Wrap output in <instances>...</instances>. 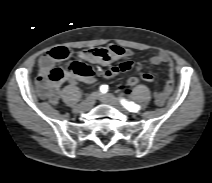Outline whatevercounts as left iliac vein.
Segmentation results:
<instances>
[{"mask_svg": "<svg viewBox=\"0 0 212 183\" xmlns=\"http://www.w3.org/2000/svg\"><path fill=\"white\" fill-rule=\"evenodd\" d=\"M99 99L103 103H107V104H110L115 107H120V101L111 94L101 95V96H99Z\"/></svg>", "mask_w": 212, "mask_h": 183, "instance_id": "obj_1", "label": "left iliac vein"}]
</instances>
